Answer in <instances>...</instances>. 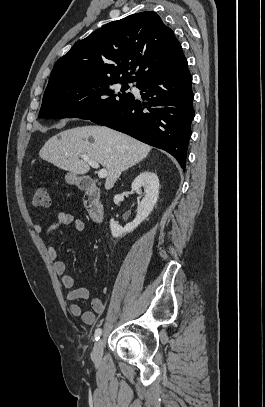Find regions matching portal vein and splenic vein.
Returning <instances> with one entry per match:
<instances>
[{
  "mask_svg": "<svg viewBox=\"0 0 265 407\" xmlns=\"http://www.w3.org/2000/svg\"><path fill=\"white\" fill-rule=\"evenodd\" d=\"M81 159L84 160L87 164H89L92 168L99 169L98 170V177L99 178H105L107 176V170L104 169V168L100 169V165H99L98 162L90 159L86 155H81Z\"/></svg>",
  "mask_w": 265,
  "mask_h": 407,
  "instance_id": "18ae733b",
  "label": "portal vein and splenic vein"
}]
</instances>
